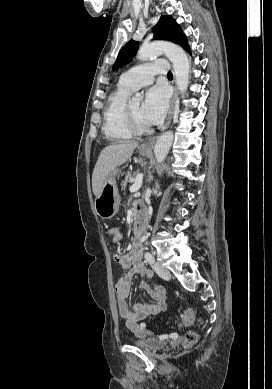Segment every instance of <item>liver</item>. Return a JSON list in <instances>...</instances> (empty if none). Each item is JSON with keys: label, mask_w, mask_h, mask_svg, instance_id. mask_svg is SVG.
Segmentation results:
<instances>
[{"label": "liver", "mask_w": 272, "mask_h": 389, "mask_svg": "<svg viewBox=\"0 0 272 389\" xmlns=\"http://www.w3.org/2000/svg\"><path fill=\"white\" fill-rule=\"evenodd\" d=\"M138 142L122 141L106 146L100 153L92 174V190L100 195L108 174L132 156Z\"/></svg>", "instance_id": "6515ba94"}]
</instances>
